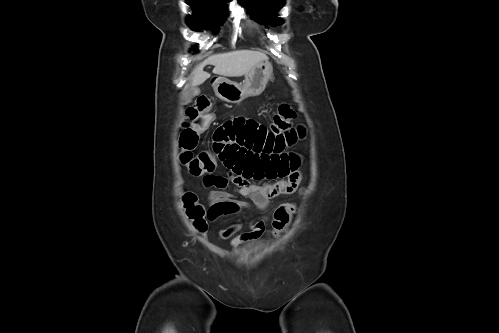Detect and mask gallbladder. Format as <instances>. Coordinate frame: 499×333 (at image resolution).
Returning a JSON list of instances; mask_svg holds the SVG:
<instances>
[{
  "mask_svg": "<svg viewBox=\"0 0 499 333\" xmlns=\"http://www.w3.org/2000/svg\"><path fill=\"white\" fill-rule=\"evenodd\" d=\"M197 92H198L197 90L191 89V90L189 91V97H190V98L194 97V96L197 94Z\"/></svg>",
  "mask_w": 499,
  "mask_h": 333,
  "instance_id": "obj_1",
  "label": "gallbladder"
}]
</instances>
